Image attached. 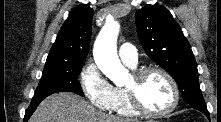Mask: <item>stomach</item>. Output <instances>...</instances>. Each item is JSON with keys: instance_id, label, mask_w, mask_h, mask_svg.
I'll return each mask as SVG.
<instances>
[{"instance_id": "0dacf381", "label": "stomach", "mask_w": 221, "mask_h": 122, "mask_svg": "<svg viewBox=\"0 0 221 122\" xmlns=\"http://www.w3.org/2000/svg\"><path fill=\"white\" fill-rule=\"evenodd\" d=\"M148 122H156V121H148Z\"/></svg>"}]
</instances>
